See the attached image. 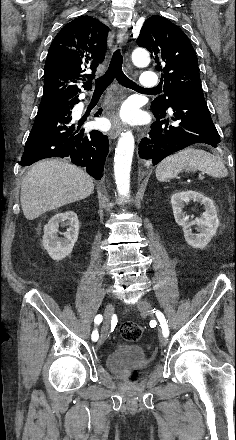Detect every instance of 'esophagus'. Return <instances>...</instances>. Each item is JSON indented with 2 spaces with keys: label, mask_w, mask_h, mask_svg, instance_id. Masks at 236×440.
Listing matches in <instances>:
<instances>
[{
  "label": "esophagus",
  "mask_w": 236,
  "mask_h": 440,
  "mask_svg": "<svg viewBox=\"0 0 236 440\" xmlns=\"http://www.w3.org/2000/svg\"><path fill=\"white\" fill-rule=\"evenodd\" d=\"M128 34H127V28L122 27L118 30L117 33V43L121 46L124 45L127 42ZM123 129L122 122L118 118L117 115H114L112 117V123H111V129H110V135L112 138H117L120 134V132Z\"/></svg>",
  "instance_id": "esophagus-1"
}]
</instances>
